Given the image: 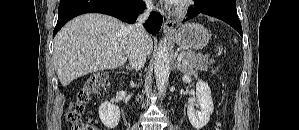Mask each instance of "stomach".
<instances>
[{"label":"stomach","mask_w":299,"mask_h":130,"mask_svg":"<svg viewBox=\"0 0 299 130\" xmlns=\"http://www.w3.org/2000/svg\"><path fill=\"white\" fill-rule=\"evenodd\" d=\"M209 31L199 23H186L174 30L169 37L178 45L192 50H201L210 40Z\"/></svg>","instance_id":"stomach-1"}]
</instances>
